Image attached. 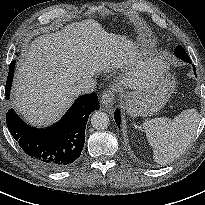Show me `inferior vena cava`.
I'll list each match as a JSON object with an SVG mask.
<instances>
[{
	"mask_svg": "<svg viewBox=\"0 0 205 205\" xmlns=\"http://www.w3.org/2000/svg\"><path fill=\"white\" fill-rule=\"evenodd\" d=\"M95 85L96 81L91 77H87L80 80L76 85H74L72 92L75 95L89 94L94 91Z\"/></svg>",
	"mask_w": 205,
	"mask_h": 205,
	"instance_id": "inferior-vena-cava-1",
	"label": "inferior vena cava"
}]
</instances>
